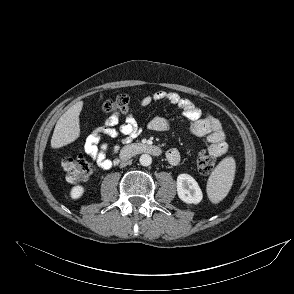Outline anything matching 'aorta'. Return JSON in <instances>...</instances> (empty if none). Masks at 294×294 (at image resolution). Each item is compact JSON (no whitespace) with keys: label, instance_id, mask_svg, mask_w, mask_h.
<instances>
[{"label":"aorta","instance_id":"aorta-1","mask_svg":"<svg viewBox=\"0 0 294 294\" xmlns=\"http://www.w3.org/2000/svg\"><path fill=\"white\" fill-rule=\"evenodd\" d=\"M139 162L142 166H149L152 163V158L148 154H142L139 158Z\"/></svg>","mask_w":294,"mask_h":294}]
</instances>
